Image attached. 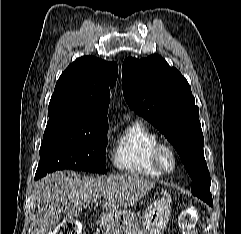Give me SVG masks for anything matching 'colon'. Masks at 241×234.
Returning <instances> with one entry per match:
<instances>
[{
	"mask_svg": "<svg viewBox=\"0 0 241 234\" xmlns=\"http://www.w3.org/2000/svg\"><path fill=\"white\" fill-rule=\"evenodd\" d=\"M197 220V213L194 208L185 209L179 219V226L183 234H196L195 224ZM57 234H80L79 223L72 219H64L57 231Z\"/></svg>",
	"mask_w": 241,
	"mask_h": 234,
	"instance_id": "obj_1",
	"label": "colon"
}]
</instances>
